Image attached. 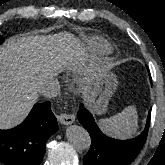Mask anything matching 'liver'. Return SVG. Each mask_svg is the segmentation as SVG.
Wrapping results in <instances>:
<instances>
[{"label":"liver","mask_w":165,"mask_h":165,"mask_svg":"<svg viewBox=\"0 0 165 165\" xmlns=\"http://www.w3.org/2000/svg\"><path fill=\"white\" fill-rule=\"evenodd\" d=\"M72 40L66 34L56 38L25 35L11 38L0 47V129L13 128L26 118L41 86L67 64L57 52L65 54V46ZM80 56L69 64L89 70L91 63L86 66Z\"/></svg>","instance_id":"6515ba94"}]
</instances>
